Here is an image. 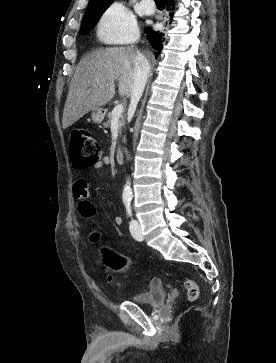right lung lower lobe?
<instances>
[{
	"label": "right lung lower lobe",
	"instance_id": "obj_1",
	"mask_svg": "<svg viewBox=\"0 0 276 363\" xmlns=\"http://www.w3.org/2000/svg\"><path fill=\"white\" fill-rule=\"evenodd\" d=\"M167 5H168L167 10L169 11V16L172 20L174 13L171 11H173L174 7H175L173 0H168ZM144 31L147 34V39L149 40V42L151 43L153 48L156 51L160 52L163 48L165 34L160 31H154L152 28H148V27L145 28Z\"/></svg>",
	"mask_w": 276,
	"mask_h": 363
}]
</instances>
